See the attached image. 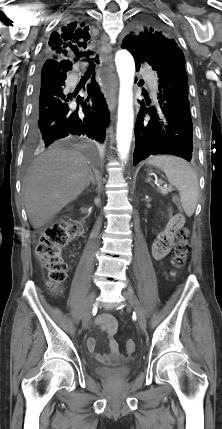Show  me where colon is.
Instances as JSON below:
<instances>
[{"label": "colon", "instance_id": "obj_1", "mask_svg": "<svg viewBox=\"0 0 222 429\" xmlns=\"http://www.w3.org/2000/svg\"><path fill=\"white\" fill-rule=\"evenodd\" d=\"M173 202L178 208H181L180 200L177 196L173 198ZM81 228V220L65 216L46 229L36 246L39 261L48 272V287L55 294L60 293L61 284L67 276L68 266L62 256V250L78 236ZM188 250V230L181 227L177 232V242L175 243L172 259L173 267L176 270L182 269L186 265ZM135 348V342L131 339L127 340V352L133 353Z\"/></svg>", "mask_w": 222, "mask_h": 429}]
</instances>
